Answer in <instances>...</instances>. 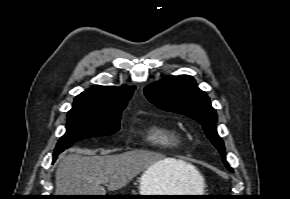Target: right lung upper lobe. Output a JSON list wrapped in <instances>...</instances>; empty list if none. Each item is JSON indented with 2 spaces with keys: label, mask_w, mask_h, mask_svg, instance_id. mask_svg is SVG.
I'll use <instances>...</instances> for the list:
<instances>
[{
  "label": "right lung upper lobe",
  "mask_w": 290,
  "mask_h": 199,
  "mask_svg": "<svg viewBox=\"0 0 290 199\" xmlns=\"http://www.w3.org/2000/svg\"><path fill=\"white\" fill-rule=\"evenodd\" d=\"M135 87H94L76 96L71 110L90 112L122 111L129 101Z\"/></svg>",
  "instance_id": "1"
}]
</instances>
